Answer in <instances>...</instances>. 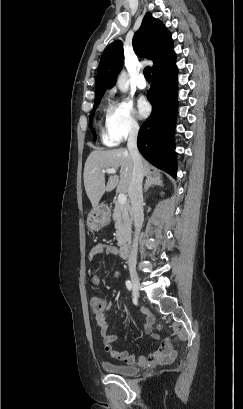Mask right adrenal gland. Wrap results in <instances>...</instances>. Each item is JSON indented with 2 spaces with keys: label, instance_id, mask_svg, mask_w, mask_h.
<instances>
[{
  "label": "right adrenal gland",
  "instance_id": "right-adrenal-gland-1",
  "mask_svg": "<svg viewBox=\"0 0 243 409\" xmlns=\"http://www.w3.org/2000/svg\"><path fill=\"white\" fill-rule=\"evenodd\" d=\"M153 185L163 186V181L160 176L149 174L147 175L144 183V192H146L148 188H150Z\"/></svg>",
  "mask_w": 243,
  "mask_h": 409
}]
</instances>
